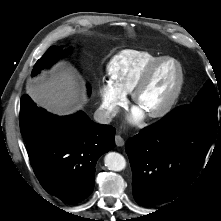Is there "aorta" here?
I'll return each instance as SVG.
<instances>
[{
	"instance_id": "aorta-1",
	"label": "aorta",
	"mask_w": 221,
	"mask_h": 221,
	"mask_svg": "<svg viewBox=\"0 0 221 221\" xmlns=\"http://www.w3.org/2000/svg\"><path fill=\"white\" fill-rule=\"evenodd\" d=\"M105 166L112 171H121L126 166L125 158L117 152H109L104 158Z\"/></svg>"
}]
</instances>
